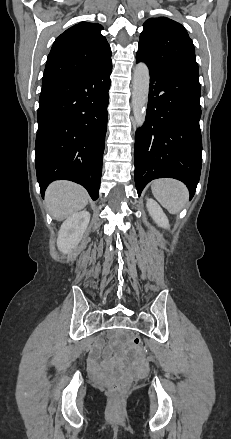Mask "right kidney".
Segmentation results:
<instances>
[{"label":"right kidney","mask_w":231,"mask_h":439,"mask_svg":"<svg viewBox=\"0 0 231 439\" xmlns=\"http://www.w3.org/2000/svg\"><path fill=\"white\" fill-rule=\"evenodd\" d=\"M90 221V213L81 211L68 217L58 232L57 246L63 253H68L81 240Z\"/></svg>","instance_id":"obj_1"}]
</instances>
